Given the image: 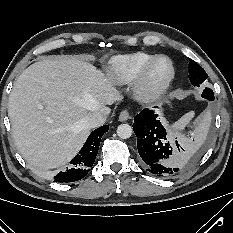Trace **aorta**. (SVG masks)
Masks as SVG:
<instances>
[{"label":"aorta","instance_id":"aorta-1","mask_svg":"<svg viewBox=\"0 0 233 233\" xmlns=\"http://www.w3.org/2000/svg\"><path fill=\"white\" fill-rule=\"evenodd\" d=\"M132 127L128 124H121L117 127V135L122 139H128L132 135Z\"/></svg>","mask_w":233,"mask_h":233}]
</instances>
